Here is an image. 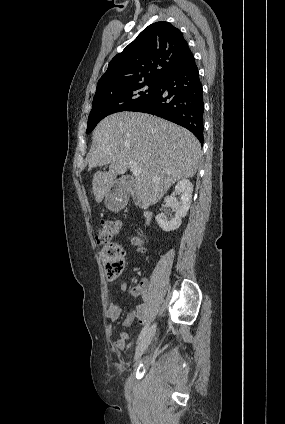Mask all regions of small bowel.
Listing matches in <instances>:
<instances>
[{
    "instance_id": "small-bowel-1",
    "label": "small bowel",
    "mask_w": 285,
    "mask_h": 424,
    "mask_svg": "<svg viewBox=\"0 0 285 424\" xmlns=\"http://www.w3.org/2000/svg\"><path fill=\"white\" fill-rule=\"evenodd\" d=\"M148 287V280L143 278L140 282L134 286L130 293L131 296L136 298H145ZM119 289L123 292L128 290V283L124 280L120 283ZM147 312V304L141 303L134 306L127 314L123 325L130 326L134 321H138L139 324H144ZM122 314V308L119 304L112 302L106 312V318L108 321L106 332L111 338L113 335V324L120 318ZM130 338V334L126 331H122L116 340L111 342V349L114 353L122 352L126 349V341Z\"/></svg>"
}]
</instances>
